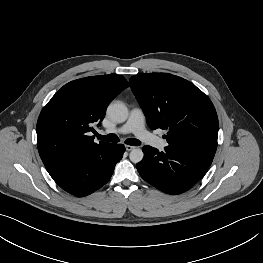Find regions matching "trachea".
Segmentation results:
<instances>
[{"mask_svg":"<svg viewBox=\"0 0 263 263\" xmlns=\"http://www.w3.org/2000/svg\"><path fill=\"white\" fill-rule=\"evenodd\" d=\"M99 140L107 141V142H119V138L115 134H108V135H100L96 134ZM125 143L131 146H138L141 142L135 138H129L125 140Z\"/></svg>","mask_w":263,"mask_h":263,"instance_id":"trachea-1","label":"trachea"}]
</instances>
